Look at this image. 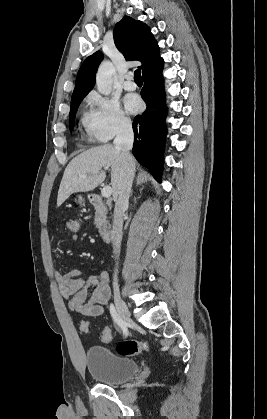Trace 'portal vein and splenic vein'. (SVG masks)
Here are the masks:
<instances>
[{"mask_svg":"<svg viewBox=\"0 0 267 419\" xmlns=\"http://www.w3.org/2000/svg\"><path fill=\"white\" fill-rule=\"evenodd\" d=\"M82 177L85 178L86 176L83 175ZM101 194L104 198H109L112 194V188L110 186L103 187V189L101 190Z\"/></svg>","mask_w":267,"mask_h":419,"instance_id":"obj_1","label":"portal vein and splenic vein"}]
</instances>
